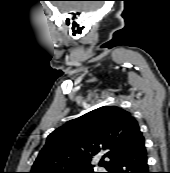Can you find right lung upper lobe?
Segmentation results:
<instances>
[{
    "label": "right lung upper lobe",
    "instance_id": "obj_1",
    "mask_svg": "<svg viewBox=\"0 0 170 173\" xmlns=\"http://www.w3.org/2000/svg\"><path fill=\"white\" fill-rule=\"evenodd\" d=\"M144 143L131 113L117 106H103L53 131L30 173H69L93 168L91 161L101 153L104 155L99 165L107 167Z\"/></svg>",
    "mask_w": 170,
    "mask_h": 173
}]
</instances>
